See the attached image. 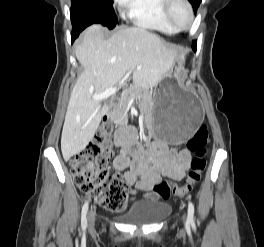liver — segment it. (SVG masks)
Wrapping results in <instances>:
<instances>
[{"label": "liver", "mask_w": 264, "mask_h": 247, "mask_svg": "<svg viewBox=\"0 0 264 247\" xmlns=\"http://www.w3.org/2000/svg\"><path fill=\"white\" fill-rule=\"evenodd\" d=\"M99 24L88 27L75 55L84 68L71 92L61 136L65 161L81 152L93 139L107 104L92 99L115 86L133 71L140 87L156 86L171 70L174 58L170 49L155 34L140 27L124 28L104 39Z\"/></svg>", "instance_id": "6515ba94"}]
</instances>
